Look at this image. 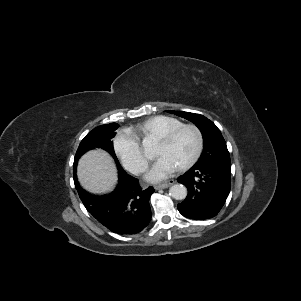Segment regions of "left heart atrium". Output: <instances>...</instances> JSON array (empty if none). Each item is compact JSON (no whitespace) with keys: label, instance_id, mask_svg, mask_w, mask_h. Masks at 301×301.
Instances as JSON below:
<instances>
[{"label":"left heart atrium","instance_id":"obj_1","mask_svg":"<svg viewBox=\"0 0 301 301\" xmlns=\"http://www.w3.org/2000/svg\"><path fill=\"white\" fill-rule=\"evenodd\" d=\"M178 168L179 166L173 161L167 157L160 156L148 172L147 178L154 181L161 180L171 175Z\"/></svg>","mask_w":301,"mask_h":301}]
</instances>
